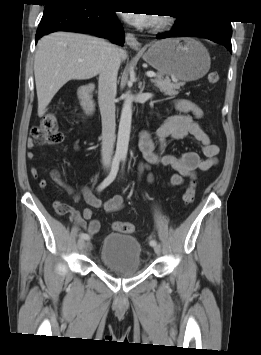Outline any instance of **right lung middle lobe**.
I'll return each mask as SVG.
<instances>
[{"label":"right lung middle lobe","instance_id":"obj_1","mask_svg":"<svg viewBox=\"0 0 261 355\" xmlns=\"http://www.w3.org/2000/svg\"><path fill=\"white\" fill-rule=\"evenodd\" d=\"M98 1L100 0H87V2H91V3H98Z\"/></svg>","mask_w":261,"mask_h":355}]
</instances>
